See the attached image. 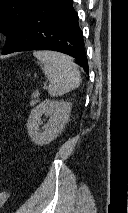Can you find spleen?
Segmentation results:
<instances>
[{
  "instance_id": "obj_1",
  "label": "spleen",
  "mask_w": 128,
  "mask_h": 213,
  "mask_svg": "<svg viewBox=\"0 0 128 213\" xmlns=\"http://www.w3.org/2000/svg\"><path fill=\"white\" fill-rule=\"evenodd\" d=\"M33 55L41 62L50 81L48 92L51 96H61L79 87L80 72L71 57L54 51H34Z\"/></svg>"
}]
</instances>
